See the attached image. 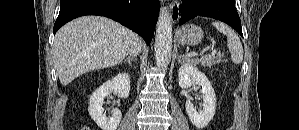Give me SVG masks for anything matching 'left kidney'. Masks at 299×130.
<instances>
[{
    "label": "left kidney",
    "instance_id": "1",
    "mask_svg": "<svg viewBox=\"0 0 299 130\" xmlns=\"http://www.w3.org/2000/svg\"><path fill=\"white\" fill-rule=\"evenodd\" d=\"M195 84L202 87L203 110L197 112L190 99L186 101L185 107L192 124L198 129H202L208 125L215 114V92L204 73L199 71L195 66L184 63L179 69V86L182 89H188Z\"/></svg>",
    "mask_w": 299,
    "mask_h": 130
}]
</instances>
